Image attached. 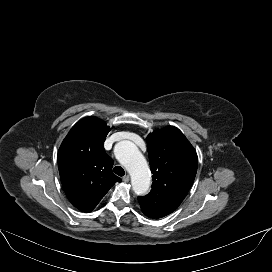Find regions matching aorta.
<instances>
[{"instance_id": "obj_1", "label": "aorta", "mask_w": 272, "mask_h": 272, "mask_svg": "<svg viewBox=\"0 0 272 272\" xmlns=\"http://www.w3.org/2000/svg\"><path fill=\"white\" fill-rule=\"evenodd\" d=\"M115 156L131 175V184L138 195L147 193L150 187V171L146 159L131 141H121L115 146Z\"/></svg>"}]
</instances>
